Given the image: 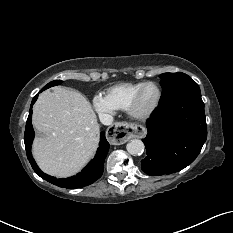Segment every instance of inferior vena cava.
I'll use <instances>...</instances> for the list:
<instances>
[{
	"instance_id": "inferior-vena-cava-1",
	"label": "inferior vena cava",
	"mask_w": 233,
	"mask_h": 233,
	"mask_svg": "<svg viewBox=\"0 0 233 233\" xmlns=\"http://www.w3.org/2000/svg\"><path fill=\"white\" fill-rule=\"evenodd\" d=\"M99 119L103 125H111L114 121V118L110 114L102 113L99 115Z\"/></svg>"
}]
</instances>
